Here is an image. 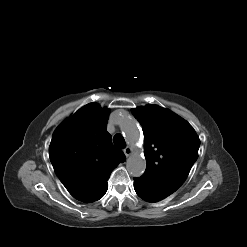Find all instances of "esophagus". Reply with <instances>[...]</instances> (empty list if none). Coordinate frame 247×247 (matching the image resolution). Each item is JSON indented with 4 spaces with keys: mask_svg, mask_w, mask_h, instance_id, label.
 Returning <instances> with one entry per match:
<instances>
[{
    "mask_svg": "<svg viewBox=\"0 0 247 247\" xmlns=\"http://www.w3.org/2000/svg\"><path fill=\"white\" fill-rule=\"evenodd\" d=\"M132 153L133 149L129 146L124 149V154L126 155V157H129Z\"/></svg>",
    "mask_w": 247,
    "mask_h": 247,
    "instance_id": "esophagus-1",
    "label": "esophagus"
}]
</instances>
